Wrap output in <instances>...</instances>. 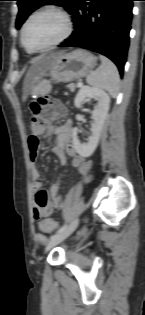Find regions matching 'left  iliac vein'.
Returning a JSON list of instances; mask_svg holds the SVG:
<instances>
[{
	"label": "left iliac vein",
	"mask_w": 145,
	"mask_h": 315,
	"mask_svg": "<svg viewBox=\"0 0 145 315\" xmlns=\"http://www.w3.org/2000/svg\"><path fill=\"white\" fill-rule=\"evenodd\" d=\"M78 224H79V219L76 218L62 232L57 233L54 236H52L50 241L48 242L46 250L51 249L55 245L65 240L68 236H70L75 231Z\"/></svg>",
	"instance_id": "4c4485c4"
}]
</instances>
